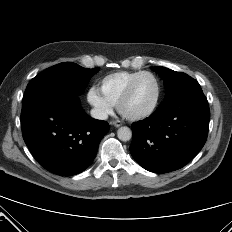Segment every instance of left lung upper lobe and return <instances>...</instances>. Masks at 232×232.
<instances>
[{"label":"left lung upper lobe","mask_w":232,"mask_h":232,"mask_svg":"<svg viewBox=\"0 0 232 232\" xmlns=\"http://www.w3.org/2000/svg\"><path fill=\"white\" fill-rule=\"evenodd\" d=\"M153 70L161 76L167 90L160 106L166 105L191 90L200 88L199 83L185 73L176 72L165 67H153Z\"/></svg>","instance_id":"1"}]
</instances>
